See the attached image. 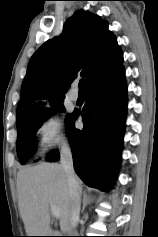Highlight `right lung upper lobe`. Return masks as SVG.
Instances as JSON below:
<instances>
[{
    "label": "right lung upper lobe",
    "mask_w": 158,
    "mask_h": 237,
    "mask_svg": "<svg viewBox=\"0 0 158 237\" xmlns=\"http://www.w3.org/2000/svg\"><path fill=\"white\" fill-rule=\"evenodd\" d=\"M108 22L90 11L70 17L59 37L45 42L31 57L23 80L17 119L33 116L50 104L64 100L77 76L88 86L123 63L116 37Z\"/></svg>",
    "instance_id": "obj_1"
}]
</instances>
